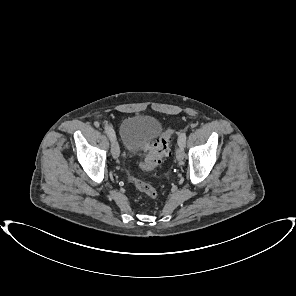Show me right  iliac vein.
I'll list each match as a JSON object with an SVG mask.
<instances>
[{
    "mask_svg": "<svg viewBox=\"0 0 296 296\" xmlns=\"http://www.w3.org/2000/svg\"><path fill=\"white\" fill-rule=\"evenodd\" d=\"M111 152H112V156L113 158L117 159L120 155V149H119V145L118 142L116 140V137H111Z\"/></svg>",
    "mask_w": 296,
    "mask_h": 296,
    "instance_id": "1",
    "label": "right iliac vein"
}]
</instances>
